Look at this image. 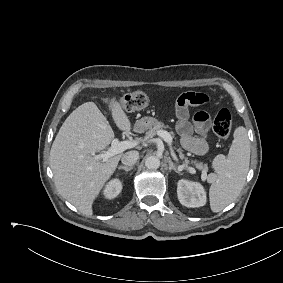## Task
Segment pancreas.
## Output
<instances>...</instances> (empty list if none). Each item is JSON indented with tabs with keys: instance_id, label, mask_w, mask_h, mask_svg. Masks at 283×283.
I'll list each match as a JSON object with an SVG mask.
<instances>
[{
	"instance_id": "1",
	"label": "pancreas",
	"mask_w": 283,
	"mask_h": 283,
	"mask_svg": "<svg viewBox=\"0 0 283 283\" xmlns=\"http://www.w3.org/2000/svg\"><path fill=\"white\" fill-rule=\"evenodd\" d=\"M169 128V126H166L164 125L163 123L161 122H157L152 128H150V130L147 132V138H151L153 137L154 135L158 134V132L162 129H167ZM171 134L174 136L175 134L173 132H171ZM178 152L180 154V157L182 159H184V162H185V165L187 166L188 164H194L195 167L198 169V170H201L202 171V179L203 180H207L208 182H211L212 181V177L211 175H208L207 176V171H208V166L207 164H203V163H199L197 162L196 160H188V158L185 157V155L183 154V150L182 149H178Z\"/></svg>"
}]
</instances>
